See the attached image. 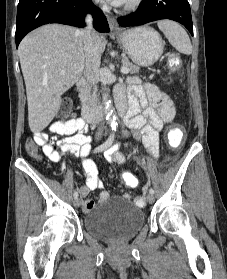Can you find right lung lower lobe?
I'll use <instances>...</instances> for the list:
<instances>
[{
    "label": "right lung lower lobe",
    "instance_id": "right-lung-lower-lobe-1",
    "mask_svg": "<svg viewBox=\"0 0 227 279\" xmlns=\"http://www.w3.org/2000/svg\"><path fill=\"white\" fill-rule=\"evenodd\" d=\"M88 12L93 16L97 31H110L107 19L91 0H20L17 8L16 46L27 33L44 24L61 23L84 27V17Z\"/></svg>",
    "mask_w": 227,
    "mask_h": 279
}]
</instances>
